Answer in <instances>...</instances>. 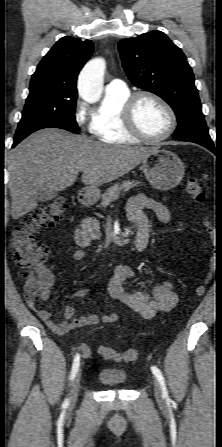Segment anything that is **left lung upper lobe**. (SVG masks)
Returning a JSON list of instances; mask_svg holds the SVG:
<instances>
[{
    "label": "left lung upper lobe",
    "mask_w": 222,
    "mask_h": 447,
    "mask_svg": "<svg viewBox=\"0 0 222 447\" xmlns=\"http://www.w3.org/2000/svg\"><path fill=\"white\" fill-rule=\"evenodd\" d=\"M122 64L137 87L164 99L174 110L181 141L211 144L194 75L187 59L163 32L152 31L119 42Z\"/></svg>",
    "instance_id": "5c2ea615"
}]
</instances>
